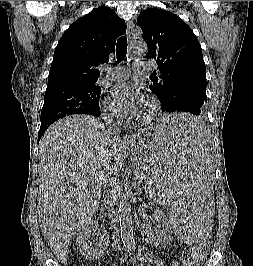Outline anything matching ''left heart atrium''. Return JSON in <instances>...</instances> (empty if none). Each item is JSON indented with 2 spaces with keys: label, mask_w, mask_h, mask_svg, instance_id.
<instances>
[{
  "label": "left heart atrium",
  "mask_w": 253,
  "mask_h": 266,
  "mask_svg": "<svg viewBox=\"0 0 253 266\" xmlns=\"http://www.w3.org/2000/svg\"><path fill=\"white\" fill-rule=\"evenodd\" d=\"M113 98L128 117L137 118L142 115L147 98L143 89L132 83L118 84L113 88Z\"/></svg>",
  "instance_id": "1"
}]
</instances>
